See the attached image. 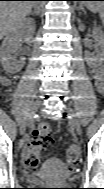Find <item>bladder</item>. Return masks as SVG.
Wrapping results in <instances>:
<instances>
[{
    "instance_id": "bladder-1",
    "label": "bladder",
    "mask_w": 104,
    "mask_h": 189,
    "mask_svg": "<svg viewBox=\"0 0 104 189\" xmlns=\"http://www.w3.org/2000/svg\"><path fill=\"white\" fill-rule=\"evenodd\" d=\"M68 173L69 169L62 160L56 157H51L44 162V164L38 171L30 174L26 178V181L30 184H40L47 181L63 178Z\"/></svg>"
}]
</instances>
